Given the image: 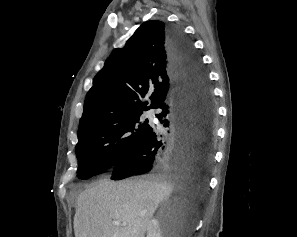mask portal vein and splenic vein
<instances>
[{"label":"portal vein and splenic vein","instance_id":"18ae733b","mask_svg":"<svg viewBox=\"0 0 297 237\" xmlns=\"http://www.w3.org/2000/svg\"><path fill=\"white\" fill-rule=\"evenodd\" d=\"M113 225H115V226H125L126 223H120V222H117V221H113Z\"/></svg>","mask_w":297,"mask_h":237}]
</instances>
